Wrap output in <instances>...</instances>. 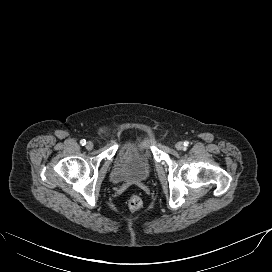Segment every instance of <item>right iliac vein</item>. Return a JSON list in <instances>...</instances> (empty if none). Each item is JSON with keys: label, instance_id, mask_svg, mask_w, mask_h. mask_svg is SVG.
Segmentation results:
<instances>
[{"label": "right iliac vein", "instance_id": "obj_1", "mask_svg": "<svg viewBox=\"0 0 272 272\" xmlns=\"http://www.w3.org/2000/svg\"><path fill=\"white\" fill-rule=\"evenodd\" d=\"M85 147L87 150H91L93 148V143L91 141H88Z\"/></svg>", "mask_w": 272, "mask_h": 272}]
</instances>
